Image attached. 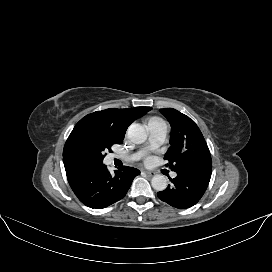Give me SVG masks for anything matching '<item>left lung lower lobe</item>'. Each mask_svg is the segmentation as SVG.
<instances>
[{
  "mask_svg": "<svg viewBox=\"0 0 272 272\" xmlns=\"http://www.w3.org/2000/svg\"><path fill=\"white\" fill-rule=\"evenodd\" d=\"M212 166L184 168L177 171V177L166 190L158 192L160 200L169 205L186 209L195 205L205 193L211 178Z\"/></svg>",
  "mask_w": 272,
  "mask_h": 272,
  "instance_id": "left-lung-lower-lobe-1",
  "label": "left lung lower lobe"
}]
</instances>
